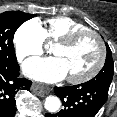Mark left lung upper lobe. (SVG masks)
<instances>
[{"mask_svg":"<svg viewBox=\"0 0 117 117\" xmlns=\"http://www.w3.org/2000/svg\"><path fill=\"white\" fill-rule=\"evenodd\" d=\"M106 48H107V56L104 67L97 76H95L92 80L88 82L92 83L95 86H99L109 90V86L111 84L114 73V64L112 59V53L107 43H106Z\"/></svg>","mask_w":117,"mask_h":117,"instance_id":"left-lung-upper-lobe-1","label":"left lung upper lobe"}]
</instances>
